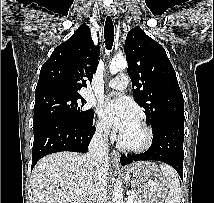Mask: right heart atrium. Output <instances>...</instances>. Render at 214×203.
I'll use <instances>...</instances> for the list:
<instances>
[{
  "instance_id": "1",
  "label": "right heart atrium",
  "mask_w": 214,
  "mask_h": 203,
  "mask_svg": "<svg viewBox=\"0 0 214 203\" xmlns=\"http://www.w3.org/2000/svg\"><path fill=\"white\" fill-rule=\"evenodd\" d=\"M96 134L100 137H106L109 134V128L105 122L99 120L95 124Z\"/></svg>"
}]
</instances>
